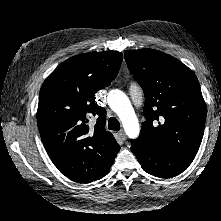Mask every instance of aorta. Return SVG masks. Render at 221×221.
<instances>
[{"mask_svg":"<svg viewBox=\"0 0 221 221\" xmlns=\"http://www.w3.org/2000/svg\"><path fill=\"white\" fill-rule=\"evenodd\" d=\"M107 102L121 120L127 136L137 138L140 133L139 122L128 96L121 90L113 89L108 93Z\"/></svg>","mask_w":221,"mask_h":221,"instance_id":"1","label":"aorta"}]
</instances>
